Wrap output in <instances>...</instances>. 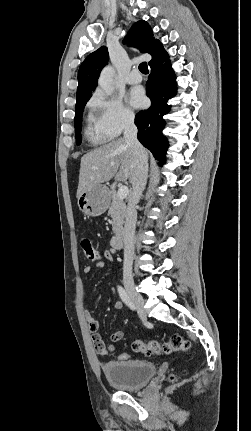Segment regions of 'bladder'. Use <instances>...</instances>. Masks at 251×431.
Instances as JSON below:
<instances>
[{"label": "bladder", "instance_id": "1", "mask_svg": "<svg viewBox=\"0 0 251 431\" xmlns=\"http://www.w3.org/2000/svg\"><path fill=\"white\" fill-rule=\"evenodd\" d=\"M107 382L122 391H135L155 375L156 366L146 360H113L102 366Z\"/></svg>", "mask_w": 251, "mask_h": 431}]
</instances>
